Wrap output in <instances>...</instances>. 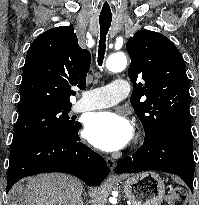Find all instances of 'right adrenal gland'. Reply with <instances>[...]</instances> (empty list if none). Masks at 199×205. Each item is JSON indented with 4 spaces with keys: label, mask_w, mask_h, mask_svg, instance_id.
Wrapping results in <instances>:
<instances>
[{
    "label": "right adrenal gland",
    "mask_w": 199,
    "mask_h": 205,
    "mask_svg": "<svg viewBox=\"0 0 199 205\" xmlns=\"http://www.w3.org/2000/svg\"><path fill=\"white\" fill-rule=\"evenodd\" d=\"M84 197H86V193H84ZM87 205V204H86Z\"/></svg>",
    "instance_id": "1"
}]
</instances>
